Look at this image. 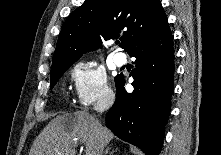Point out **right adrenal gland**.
I'll return each mask as SVG.
<instances>
[{"label": "right adrenal gland", "mask_w": 221, "mask_h": 155, "mask_svg": "<svg viewBox=\"0 0 221 155\" xmlns=\"http://www.w3.org/2000/svg\"><path fill=\"white\" fill-rule=\"evenodd\" d=\"M117 150H118V148L107 147L105 150V155H113L114 152H116Z\"/></svg>", "instance_id": "2a0ac1e0"}]
</instances>
